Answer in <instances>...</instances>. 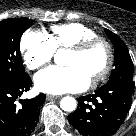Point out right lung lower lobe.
I'll list each match as a JSON object with an SVG mask.
<instances>
[{"label": "right lung lower lobe", "instance_id": "right-lung-lower-lobe-1", "mask_svg": "<svg viewBox=\"0 0 136 136\" xmlns=\"http://www.w3.org/2000/svg\"><path fill=\"white\" fill-rule=\"evenodd\" d=\"M31 85L29 75L14 84L0 85V136H26L36 126L45 95L20 100L21 107L16 105L17 99Z\"/></svg>", "mask_w": 136, "mask_h": 136}]
</instances>
